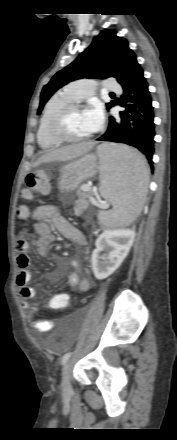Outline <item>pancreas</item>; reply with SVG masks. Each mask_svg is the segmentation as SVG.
<instances>
[{"instance_id": "cf45deb5", "label": "pancreas", "mask_w": 177, "mask_h": 440, "mask_svg": "<svg viewBox=\"0 0 177 440\" xmlns=\"http://www.w3.org/2000/svg\"><path fill=\"white\" fill-rule=\"evenodd\" d=\"M93 195V193L91 192V190L89 191H80L78 193V197L79 199L75 201V206H74V214L76 216H80L83 211L87 208L88 206V198H90Z\"/></svg>"}]
</instances>
